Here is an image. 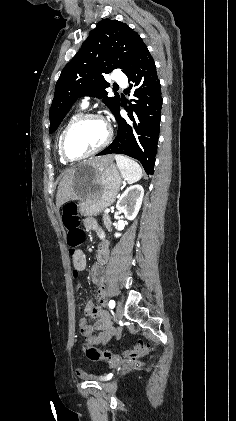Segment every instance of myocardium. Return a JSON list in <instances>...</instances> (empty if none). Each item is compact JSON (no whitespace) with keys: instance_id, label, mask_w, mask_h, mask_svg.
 Here are the masks:
<instances>
[{"instance_id":"f54148a6","label":"myocardium","mask_w":236,"mask_h":421,"mask_svg":"<svg viewBox=\"0 0 236 421\" xmlns=\"http://www.w3.org/2000/svg\"><path fill=\"white\" fill-rule=\"evenodd\" d=\"M89 119H97V120H100V121L105 123V125L107 127V134H106L105 140L98 147H96L92 151H90V152H88V153H86L82 156H77V157L72 156L67 150L68 135L76 125H78L79 123H81L85 120H89ZM112 138H113V129H112L109 121L104 116H102L100 114H96V113H88V114L80 115L77 118H75L74 120H72L67 125L65 130L63 131V134L61 136V141H60V153H61V156L63 157V159L66 162L72 163V162L80 161L82 159H85L87 157H90V156L102 151L104 148H106L110 144Z\"/></svg>"}]
</instances>
